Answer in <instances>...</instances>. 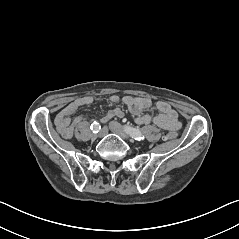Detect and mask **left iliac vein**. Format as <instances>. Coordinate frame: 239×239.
<instances>
[{
    "label": "left iliac vein",
    "mask_w": 239,
    "mask_h": 239,
    "mask_svg": "<svg viewBox=\"0 0 239 239\" xmlns=\"http://www.w3.org/2000/svg\"><path fill=\"white\" fill-rule=\"evenodd\" d=\"M109 129H110L113 133L119 135L121 138H123V139H125V140L129 139V136L127 135L125 129H124V128L122 127V125L119 124L118 122L111 121V122L109 123Z\"/></svg>",
    "instance_id": "1"
}]
</instances>
